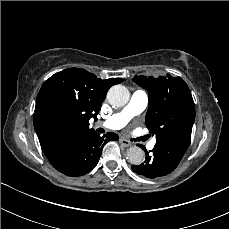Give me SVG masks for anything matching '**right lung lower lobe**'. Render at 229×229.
<instances>
[{
    "mask_svg": "<svg viewBox=\"0 0 229 229\" xmlns=\"http://www.w3.org/2000/svg\"><path fill=\"white\" fill-rule=\"evenodd\" d=\"M117 134L109 132L100 136L95 131L75 141L51 165L67 176H81L92 170L99 161L104 145L118 140Z\"/></svg>",
    "mask_w": 229,
    "mask_h": 229,
    "instance_id": "obj_1",
    "label": "right lung lower lobe"
}]
</instances>
